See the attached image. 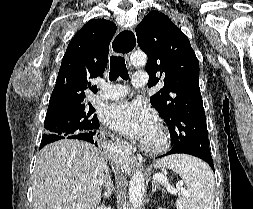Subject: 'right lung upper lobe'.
<instances>
[{"instance_id": "obj_1", "label": "right lung upper lobe", "mask_w": 253, "mask_h": 209, "mask_svg": "<svg viewBox=\"0 0 253 209\" xmlns=\"http://www.w3.org/2000/svg\"><path fill=\"white\" fill-rule=\"evenodd\" d=\"M116 29L108 20L93 19L75 34L62 59L47 114L60 108L86 105L85 90L97 92V87L88 81L103 76Z\"/></svg>"}]
</instances>
